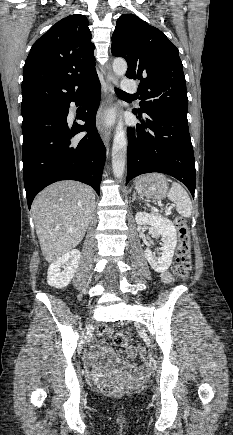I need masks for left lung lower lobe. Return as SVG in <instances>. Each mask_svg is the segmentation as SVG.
<instances>
[{"label": "left lung lower lobe", "instance_id": "left-lung-lower-lobe-1", "mask_svg": "<svg viewBox=\"0 0 233 435\" xmlns=\"http://www.w3.org/2000/svg\"><path fill=\"white\" fill-rule=\"evenodd\" d=\"M134 113L141 124L128 129L137 139L128 140L126 184L144 173H165L185 184L194 197L195 160L187 117Z\"/></svg>", "mask_w": 233, "mask_h": 435}]
</instances>
